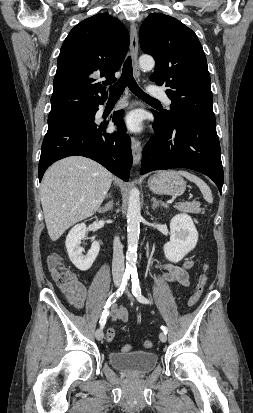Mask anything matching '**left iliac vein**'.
<instances>
[{"label": "left iliac vein", "instance_id": "obj_1", "mask_svg": "<svg viewBox=\"0 0 253 413\" xmlns=\"http://www.w3.org/2000/svg\"><path fill=\"white\" fill-rule=\"evenodd\" d=\"M126 293L129 297H131V294L128 292V290H126ZM159 339L161 340V342H166L167 341V336L164 332H161L159 334Z\"/></svg>", "mask_w": 253, "mask_h": 413}]
</instances>
